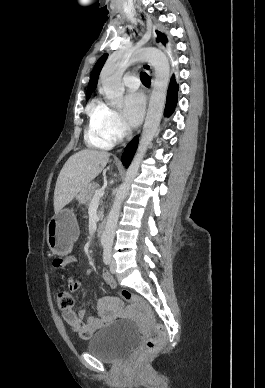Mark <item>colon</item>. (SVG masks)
Returning <instances> with one entry per match:
<instances>
[{
	"instance_id": "obj_1",
	"label": "colon",
	"mask_w": 265,
	"mask_h": 388,
	"mask_svg": "<svg viewBox=\"0 0 265 388\" xmlns=\"http://www.w3.org/2000/svg\"><path fill=\"white\" fill-rule=\"evenodd\" d=\"M118 296L126 302L137 306L141 310L146 323L149 324L156 333V337H150L145 341V352L152 353L159 350L166 342L168 334L166 327L155 321L153 309L150 303L144 297L127 289L119 291ZM57 303L61 309H69L74 304L73 295L68 290L60 289L57 295ZM139 356V351H136L134 353V359L138 358Z\"/></svg>"
}]
</instances>
